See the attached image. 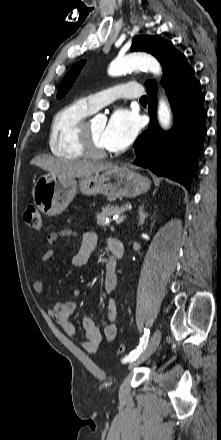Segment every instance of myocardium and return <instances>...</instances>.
Listing matches in <instances>:
<instances>
[{"instance_id": "1", "label": "myocardium", "mask_w": 221, "mask_h": 440, "mask_svg": "<svg viewBox=\"0 0 221 440\" xmlns=\"http://www.w3.org/2000/svg\"><path fill=\"white\" fill-rule=\"evenodd\" d=\"M89 123L90 120L86 117L79 126L78 136L80 146L85 156L95 159L104 158L108 155V152L95 144L89 130Z\"/></svg>"}]
</instances>
